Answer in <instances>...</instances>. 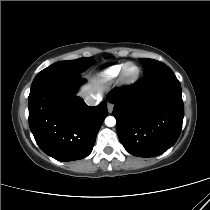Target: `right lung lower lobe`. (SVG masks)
Returning a JSON list of instances; mask_svg holds the SVG:
<instances>
[{
  "label": "right lung lower lobe",
  "instance_id": "right-lung-lower-lobe-1",
  "mask_svg": "<svg viewBox=\"0 0 210 210\" xmlns=\"http://www.w3.org/2000/svg\"><path fill=\"white\" fill-rule=\"evenodd\" d=\"M80 73L49 71L33 80L28 98L29 126L43 152L59 161L88 156L108 114L107 103L87 106L75 96Z\"/></svg>",
  "mask_w": 210,
  "mask_h": 210
}]
</instances>
